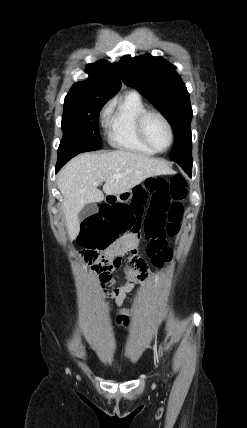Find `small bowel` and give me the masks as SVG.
<instances>
[{
  "label": "small bowel",
  "instance_id": "small-bowel-1",
  "mask_svg": "<svg viewBox=\"0 0 247 428\" xmlns=\"http://www.w3.org/2000/svg\"><path fill=\"white\" fill-rule=\"evenodd\" d=\"M138 240L139 238L133 235H126L122 237V239H119L117 242L114 243L113 247H110L106 251L107 257L109 259H121V257L128 251L132 252L133 250L137 249ZM148 277L149 271L146 264L137 266L133 270H128L126 281L124 283L114 286L111 292V296L114 299V305L117 308H120L126 298V295L131 292L136 285L147 284ZM107 285L113 286L114 280L111 279ZM138 307L139 305L136 304L132 309L119 310L118 317L129 320V316L134 314L137 311Z\"/></svg>",
  "mask_w": 247,
  "mask_h": 428
}]
</instances>
